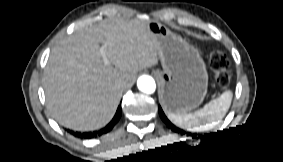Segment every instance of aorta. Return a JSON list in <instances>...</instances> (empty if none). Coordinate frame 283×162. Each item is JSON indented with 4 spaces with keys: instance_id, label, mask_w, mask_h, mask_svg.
I'll list each match as a JSON object with an SVG mask.
<instances>
[{
    "instance_id": "762f6f07",
    "label": "aorta",
    "mask_w": 283,
    "mask_h": 162,
    "mask_svg": "<svg viewBox=\"0 0 283 162\" xmlns=\"http://www.w3.org/2000/svg\"><path fill=\"white\" fill-rule=\"evenodd\" d=\"M137 87L140 91L151 94L155 91L156 84L151 76L142 75L137 80Z\"/></svg>"
}]
</instances>
